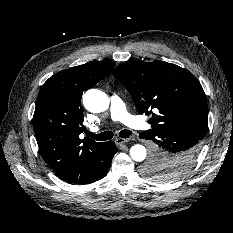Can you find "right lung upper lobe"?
<instances>
[{
	"label": "right lung upper lobe",
	"instance_id": "right-lung-upper-lobe-1",
	"mask_svg": "<svg viewBox=\"0 0 233 233\" xmlns=\"http://www.w3.org/2000/svg\"><path fill=\"white\" fill-rule=\"evenodd\" d=\"M114 66L112 62L90 61L56 73L41 87L33 127L41 154L56 175L101 144L79 138L84 128L80 100L83 91L102 80Z\"/></svg>",
	"mask_w": 233,
	"mask_h": 233
}]
</instances>
